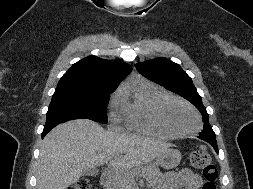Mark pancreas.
Instances as JSON below:
<instances>
[{
  "instance_id": "pancreas-1",
  "label": "pancreas",
  "mask_w": 253,
  "mask_h": 189,
  "mask_svg": "<svg viewBox=\"0 0 253 189\" xmlns=\"http://www.w3.org/2000/svg\"><path fill=\"white\" fill-rule=\"evenodd\" d=\"M144 176L148 181H154L161 175L157 166H147L143 169ZM134 183L133 175L127 171L115 173L107 189H131Z\"/></svg>"
}]
</instances>
